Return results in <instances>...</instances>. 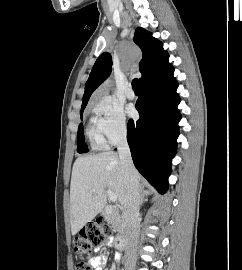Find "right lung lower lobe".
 Segmentation results:
<instances>
[{"label": "right lung lower lobe", "mask_w": 242, "mask_h": 270, "mask_svg": "<svg viewBox=\"0 0 242 270\" xmlns=\"http://www.w3.org/2000/svg\"><path fill=\"white\" fill-rule=\"evenodd\" d=\"M174 68L168 61L141 84L136 102L138 121L129 120L127 141L135 167L158 191L168 189L171 159L175 155L180 98Z\"/></svg>", "instance_id": "98d812e1"}]
</instances>
